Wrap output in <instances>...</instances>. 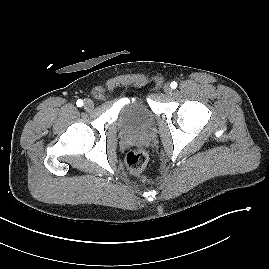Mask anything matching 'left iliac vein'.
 I'll return each instance as SVG.
<instances>
[{
	"label": "left iliac vein",
	"mask_w": 269,
	"mask_h": 269,
	"mask_svg": "<svg viewBox=\"0 0 269 269\" xmlns=\"http://www.w3.org/2000/svg\"><path fill=\"white\" fill-rule=\"evenodd\" d=\"M163 89H164L165 94H167V95L172 94V89H171L169 84H165Z\"/></svg>",
	"instance_id": "obj_1"
}]
</instances>
